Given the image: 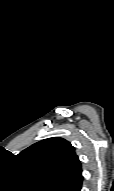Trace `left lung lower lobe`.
<instances>
[{
    "label": "left lung lower lobe",
    "instance_id": "left-lung-lower-lobe-1",
    "mask_svg": "<svg viewBox=\"0 0 114 191\" xmlns=\"http://www.w3.org/2000/svg\"><path fill=\"white\" fill-rule=\"evenodd\" d=\"M83 176L82 174L77 178V180L72 184L69 191H80L82 186Z\"/></svg>",
    "mask_w": 114,
    "mask_h": 191
}]
</instances>
